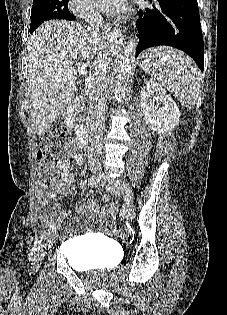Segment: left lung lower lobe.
Masks as SVG:
<instances>
[{"mask_svg": "<svg viewBox=\"0 0 227 315\" xmlns=\"http://www.w3.org/2000/svg\"><path fill=\"white\" fill-rule=\"evenodd\" d=\"M147 1L153 9L138 11L136 56L148 47L172 46L191 56L203 72L204 43L197 0H157V6L152 0Z\"/></svg>", "mask_w": 227, "mask_h": 315, "instance_id": "obj_1", "label": "left lung lower lobe"}]
</instances>
